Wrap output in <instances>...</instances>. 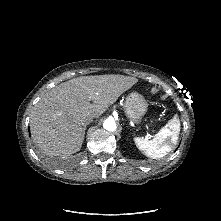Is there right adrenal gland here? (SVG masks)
I'll use <instances>...</instances> for the list:
<instances>
[{
	"instance_id": "right-adrenal-gland-1",
	"label": "right adrenal gland",
	"mask_w": 221,
	"mask_h": 221,
	"mask_svg": "<svg viewBox=\"0 0 221 221\" xmlns=\"http://www.w3.org/2000/svg\"><path fill=\"white\" fill-rule=\"evenodd\" d=\"M86 126L83 128V136L85 135Z\"/></svg>"
}]
</instances>
